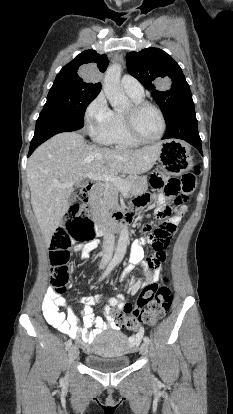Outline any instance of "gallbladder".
<instances>
[{
  "instance_id": "1",
  "label": "gallbladder",
  "mask_w": 233,
  "mask_h": 414,
  "mask_svg": "<svg viewBox=\"0 0 233 414\" xmlns=\"http://www.w3.org/2000/svg\"><path fill=\"white\" fill-rule=\"evenodd\" d=\"M84 185V183H80L79 185H78V187H82ZM75 201V195H72V197L69 199V202L70 203H73Z\"/></svg>"
}]
</instances>
